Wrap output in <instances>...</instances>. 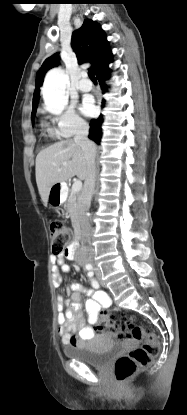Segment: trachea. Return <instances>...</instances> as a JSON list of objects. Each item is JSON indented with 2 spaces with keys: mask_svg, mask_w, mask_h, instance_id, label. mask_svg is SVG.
<instances>
[{
  "mask_svg": "<svg viewBox=\"0 0 187 415\" xmlns=\"http://www.w3.org/2000/svg\"><path fill=\"white\" fill-rule=\"evenodd\" d=\"M88 76H89V78H90L92 81H96V77H95V75L93 74L92 70H89V71H88Z\"/></svg>",
  "mask_w": 187,
  "mask_h": 415,
  "instance_id": "trachea-1",
  "label": "trachea"
}]
</instances>
